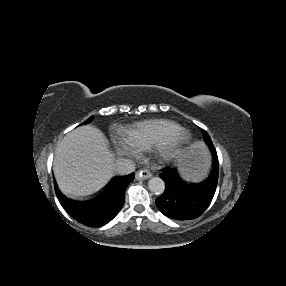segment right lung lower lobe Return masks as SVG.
<instances>
[{
	"instance_id": "1",
	"label": "right lung lower lobe",
	"mask_w": 286,
	"mask_h": 286,
	"mask_svg": "<svg viewBox=\"0 0 286 286\" xmlns=\"http://www.w3.org/2000/svg\"><path fill=\"white\" fill-rule=\"evenodd\" d=\"M135 174L116 177L98 196L87 201L67 199L56 189V195L63 208L78 222L101 227L110 222L121 210L125 200V190Z\"/></svg>"
}]
</instances>
